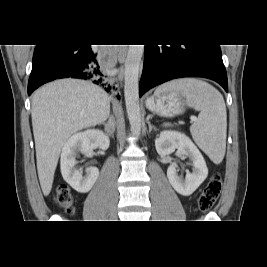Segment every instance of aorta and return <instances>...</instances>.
<instances>
[{
	"mask_svg": "<svg viewBox=\"0 0 267 267\" xmlns=\"http://www.w3.org/2000/svg\"><path fill=\"white\" fill-rule=\"evenodd\" d=\"M144 45H129L125 60L124 96L131 131L139 135L141 131V112L139 106V69Z\"/></svg>",
	"mask_w": 267,
	"mask_h": 267,
	"instance_id": "obj_1",
	"label": "aorta"
}]
</instances>
